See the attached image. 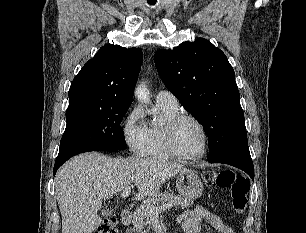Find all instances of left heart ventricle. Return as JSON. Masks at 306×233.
<instances>
[{
    "instance_id": "left-heart-ventricle-1",
    "label": "left heart ventricle",
    "mask_w": 306,
    "mask_h": 233,
    "mask_svg": "<svg viewBox=\"0 0 306 233\" xmlns=\"http://www.w3.org/2000/svg\"><path fill=\"white\" fill-rule=\"evenodd\" d=\"M175 141L179 151L186 155L199 154L203 148L202 133L192 121H184L179 125Z\"/></svg>"
}]
</instances>
